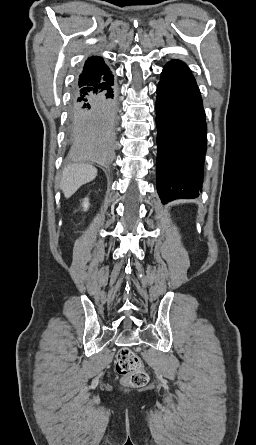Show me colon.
I'll use <instances>...</instances> for the list:
<instances>
[{
	"instance_id": "colon-1",
	"label": "colon",
	"mask_w": 256,
	"mask_h": 445,
	"mask_svg": "<svg viewBox=\"0 0 256 445\" xmlns=\"http://www.w3.org/2000/svg\"><path fill=\"white\" fill-rule=\"evenodd\" d=\"M115 369L122 380L132 387H143L148 374L139 356L129 348H122L117 354Z\"/></svg>"
}]
</instances>
